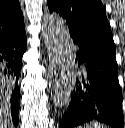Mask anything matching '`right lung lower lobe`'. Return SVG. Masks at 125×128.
I'll return each instance as SVG.
<instances>
[{
    "label": "right lung lower lobe",
    "mask_w": 125,
    "mask_h": 128,
    "mask_svg": "<svg viewBox=\"0 0 125 128\" xmlns=\"http://www.w3.org/2000/svg\"><path fill=\"white\" fill-rule=\"evenodd\" d=\"M27 49L25 29L0 40V82L10 93V109L14 126L18 125L20 88L18 79L22 68V56Z\"/></svg>",
    "instance_id": "98d812e1"
}]
</instances>
